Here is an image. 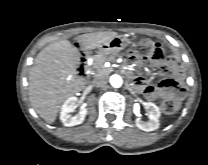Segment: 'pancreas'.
I'll list each match as a JSON object with an SVG mask.
<instances>
[{
  "label": "pancreas",
  "mask_w": 208,
  "mask_h": 165,
  "mask_svg": "<svg viewBox=\"0 0 208 165\" xmlns=\"http://www.w3.org/2000/svg\"><path fill=\"white\" fill-rule=\"evenodd\" d=\"M93 67L96 69L98 74L108 73L109 69L104 67L105 61H115V57L111 54L99 53L93 57Z\"/></svg>",
  "instance_id": "cf45deb5"
}]
</instances>
